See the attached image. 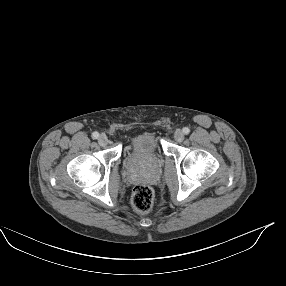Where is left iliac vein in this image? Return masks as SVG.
Listing matches in <instances>:
<instances>
[{
	"mask_svg": "<svg viewBox=\"0 0 286 286\" xmlns=\"http://www.w3.org/2000/svg\"><path fill=\"white\" fill-rule=\"evenodd\" d=\"M184 132L180 129H177L174 133V139L177 141V142H182L184 140Z\"/></svg>",
	"mask_w": 286,
	"mask_h": 286,
	"instance_id": "4c4485c4",
	"label": "left iliac vein"
}]
</instances>
